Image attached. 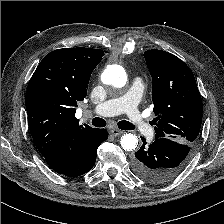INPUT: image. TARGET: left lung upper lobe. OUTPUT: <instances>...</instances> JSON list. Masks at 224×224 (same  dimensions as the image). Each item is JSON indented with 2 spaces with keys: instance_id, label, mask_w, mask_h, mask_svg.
Returning <instances> with one entry per match:
<instances>
[{
  "instance_id": "obj_1",
  "label": "left lung upper lobe",
  "mask_w": 224,
  "mask_h": 224,
  "mask_svg": "<svg viewBox=\"0 0 224 224\" xmlns=\"http://www.w3.org/2000/svg\"><path fill=\"white\" fill-rule=\"evenodd\" d=\"M144 57L152 76L155 139L193 145L201 127L203 105L191 69L162 50H148Z\"/></svg>"
}]
</instances>
